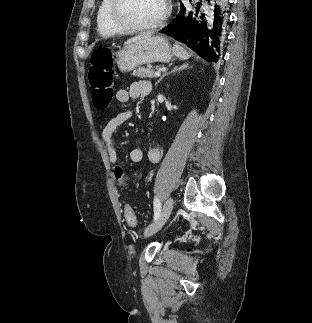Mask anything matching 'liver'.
<instances>
[{
	"label": "liver",
	"mask_w": 312,
	"mask_h": 323,
	"mask_svg": "<svg viewBox=\"0 0 312 323\" xmlns=\"http://www.w3.org/2000/svg\"><path fill=\"white\" fill-rule=\"evenodd\" d=\"M141 38H150V34H141V36H134L131 40H127L125 44H130V42H135V40H141Z\"/></svg>",
	"instance_id": "obj_1"
}]
</instances>
